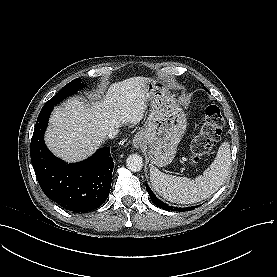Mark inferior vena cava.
I'll return each instance as SVG.
<instances>
[{
    "mask_svg": "<svg viewBox=\"0 0 277 277\" xmlns=\"http://www.w3.org/2000/svg\"><path fill=\"white\" fill-rule=\"evenodd\" d=\"M116 135H117V130L112 129V130L108 133L107 137H108L109 139H113V138L116 137Z\"/></svg>",
    "mask_w": 277,
    "mask_h": 277,
    "instance_id": "1",
    "label": "inferior vena cava"
}]
</instances>
